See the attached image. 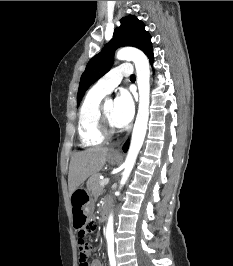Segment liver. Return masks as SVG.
<instances>
[{"instance_id": "6515ba94", "label": "liver", "mask_w": 233, "mask_h": 266, "mask_svg": "<svg viewBox=\"0 0 233 266\" xmlns=\"http://www.w3.org/2000/svg\"><path fill=\"white\" fill-rule=\"evenodd\" d=\"M109 149L94 147L75 152L70 160L68 188L72 195L90 176H95L105 165Z\"/></svg>"}]
</instances>
